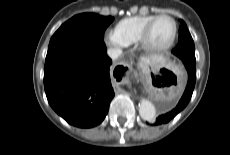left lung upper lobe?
<instances>
[{
    "label": "left lung upper lobe",
    "mask_w": 230,
    "mask_h": 155,
    "mask_svg": "<svg viewBox=\"0 0 230 155\" xmlns=\"http://www.w3.org/2000/svg\"><path fill=\"white\" fill-rule=\"evenodd\" d=\"M172 53L179 57L182 61L185 59H191L194 62L196 61L194 42L186 23L183 20H181L179 27V42L172 50Z\"/></svg>",
    "instance_id": "left-lung-upper-lobe-1"
}]
</instances>
